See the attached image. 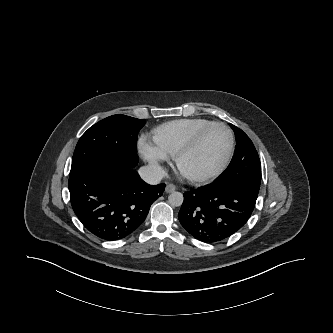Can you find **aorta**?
Here are the masks:
<instances>
[{
    "instance_id": "obj_1",
    "label": "aorta",
    "mask_w": 333,
    "mask_h": 333,
    "mask_svg": "<svg viewBox=\"0 0 333 333\" xmlns=\"http://www.w3.org/2000/svg\"><path fill=\"white\" fill-rule=\"evenodd\" d=\"M168 201L172 206H181L183 203V195L180 192H172L168 197Z\"/></svg>"
}]
</instances>
